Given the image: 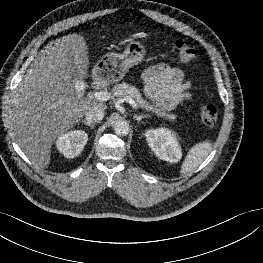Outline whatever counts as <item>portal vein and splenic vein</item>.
<instances>
[{"mask_svg": "<svg viewBox=\"0 0 263 263\" xmlns=\"http://www.w3.org/2000/svg\"><path fill=\"white\" fill-rule=\"evenodd\" d=\"M93 98L99 100V101H107L109 100L112 96L108 91H96L92 95ZM125 100L133 107L137 108L136 102L129 96L125 98Z\"/></svg>", "mask_w": 263, "mask_h": 263, "instance_id": "portal-vein-and-splenic-vein-1", "label": "portal vein and splenic vein"}]
</instances>
